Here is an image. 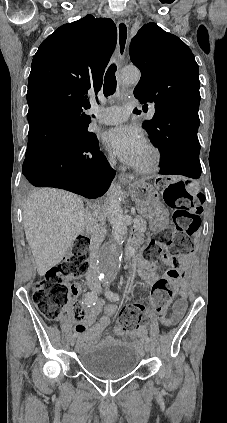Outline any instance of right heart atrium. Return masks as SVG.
Segmentation results:
<instances>
[{
	"label": "right heart atrium",
	"mask_w": 227,
	"mask_h": 423,
	"mask_svg": "<svg viewBox=\"0 0 227 423\" xmlns=\"http://www.w3.org/2000/svg\"><path fill=\"white\" fill-rule=\"evenodd\" d=\"M106 162L111 167L115 166V163H116L115 158L112 155L106 156Z\"/></svg>",
	"instance_id": "d8ad5b80"
}]
</instances>
